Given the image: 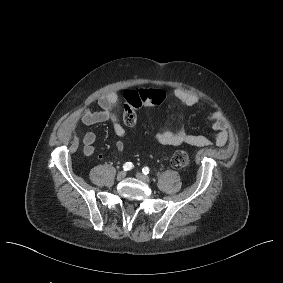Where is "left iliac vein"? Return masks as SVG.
Returning a JSON list of instances; mask_svg holds the SVG:
<instances>
[{"label":"left iliac vein","instance_id":"obj_1","mask_svg":"<svg viewBox=\"0 0 283 283\" xmlns=\"http://www.w3.org/2000/svg\"><path fill=\"white\" fill-rule=\"evenodd\" d=\"M136 177L143 182H146V183L150 182V178L142 173H137Z\"/></svg>","mask_w":283,"mask_h":283}]
</instances>
